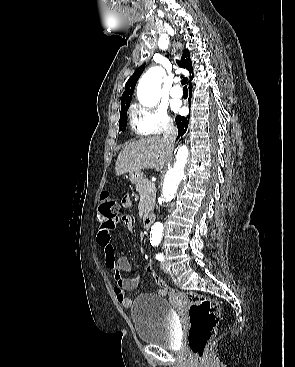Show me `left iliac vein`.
Listing matches in <instances>:
<instances>
[{
	"mask_svg": "<svg viewBox=\"0 0 295 367\" xmlns=\"http://www.w3.org/2000/svg\"><path fill=\"white\" fill-rule=\"evenodd\" d=\"M160 267L161 269L164 271V272H168V266H167V262L166 261H162L161 264H160Z\"/></svg>",
	"mask_w": 295,
	"mask_h": 367,
	"instance_id": "left-iliac-vein-1",
	"label": "left iliac vein"
}]
</instances>
